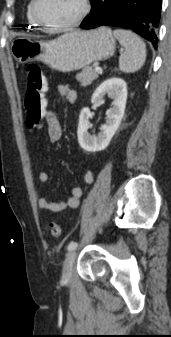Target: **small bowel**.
<instances>
[{"label": "small bowel", "mask_w": 171, "mask_h": 337, "mask_svg": "<svg viewBox=\"0 0 171 337\" xmlns=\"http://www.w3.org/2000/svg\"><path fill=\"white\" fill-rule=\"evenodd\" d=\"M58 94L65 98L69 103H75L77 100V93L75 90L69 88L66 85H59L57 87ZM47 115L44 116L45 122H41L37 125V128L41 130L43 127L47 129L48 139L51 143H56L62 138V127L56 117L55 112L48 107ZM39 180L43 183L47 182L49 175L46 171L42 170L38 174ZM93 180V174L91 170L86 169L83 174V181L86 184H90ZM83 194V189L80 185H76L72 188L71 196L67 200L63 199H49L47 197H41L39 199V207L44 210H49L53 213H61L68 209L77 208L80 202V198Z\"/></svg>", "instance_id": "c3829d8e"}]
</instances>
